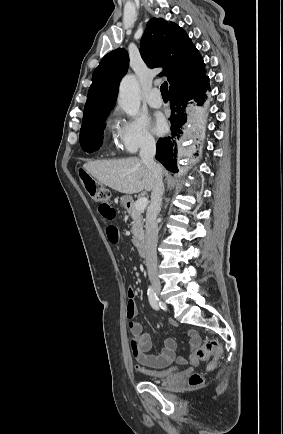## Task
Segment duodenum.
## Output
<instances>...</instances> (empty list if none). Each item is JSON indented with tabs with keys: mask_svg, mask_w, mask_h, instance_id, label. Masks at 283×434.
I'll return each mask as SVG.
<instances>
[{
	"mask_svg": "<svg viewBox=\"0 0 283 434\" xmlns=\"http://www.w3.org/2000/svg\"><path fill=\"white\" fill-rule=\"evenodd\" d=\"M126 202H127V205L130 206L131 201L127 200ZM137 246H138V250H139V253L141 254V256L146 257L147 253H148V245H147L146 239L142 238L141 240H139Z\"/></svg>",
	"mask_w": 283,
	"mask_h": 434,
	"instance_id": "410a0bca",
	"label": "duodenum"
}]
</instances>
